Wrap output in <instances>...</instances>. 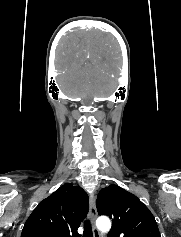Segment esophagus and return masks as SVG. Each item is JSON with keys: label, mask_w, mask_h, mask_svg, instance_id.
<instances>
[{"label": "esophagus", "mask_w": 181, "mask_h": 237, "mask_svg": "<svg viewBox=\"0 0 181 237\" xmlns=\"http://www.w3.org/2000/svg\"><path fill=\"white\" fill-rule=\"evenodd\" d=\"M89 205H90V219L93 225L94 237H100L99 232L95 227V220L97 218V209H96V197L94 194L90 196Z\"/></svg>", "instance_id": "34e87169"}]
</instances>
